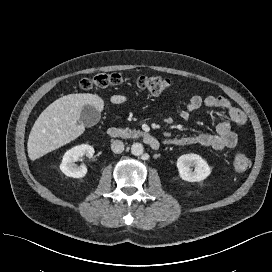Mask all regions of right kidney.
I'll return each mask as SVG.
<instances>
[{
  "mask_svg": "<svg viewBox=\"0 0 272 272\" xmlns=\"http://www.w3.org/2000/svg\"><path fill=\"white\" fill-rule=\"evenodd\" d=\"M94 154V148L88 144H82L75 146L68 150L62 159L60 164V170L69 177L82 178L87 174V167L85 165L77 166L75 164L79 157L86 155L92 157Z\"/></svg>",
  "mask_w": 272,
  "mask_h": 272,
  "instance_id": "right-kidney-1",
  "label": "right kidney"
}]
</instances>
